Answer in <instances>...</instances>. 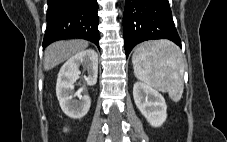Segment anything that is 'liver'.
Listing matches in <instances>:
<instances>
[{"mask_svg": "<svg viewBox=\"0 0 227 142\" xmlns=\"http://www.w3.org/2000/svg\"><path fill=\"white\" fill-rule=\"evenodd\" d=\"M88 47L85 40L59 41L50 44L44 53V70H50Z\"/></svg>", "mask_w": 227, "mask_h": 142, "instance_id": "liver-1", "label": "liver"}]
</instances>
